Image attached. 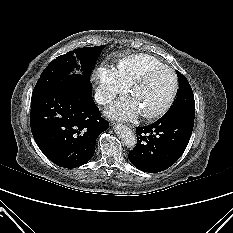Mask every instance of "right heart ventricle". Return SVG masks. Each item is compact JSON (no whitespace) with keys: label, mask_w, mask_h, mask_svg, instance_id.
<instances>
[{"label":"right heart ventricle","mask_w":233,"mask_h":233,"mask_svg":"<svg viewBox=\"0 0 233 233\" xmlns=\"http://www.w3.org/2000/svg\"><path fill=\"white\" fill-rule=\"evenodd\" d=\"M159 65L163 64L153 56L135 54L120 59L116 70L122 81L129 86V84L145 69Z\"/></svg>","instance_id":"obj_1"}]
</instances>
